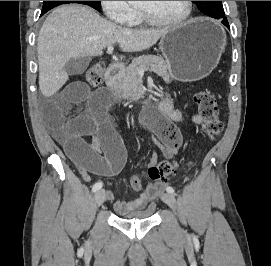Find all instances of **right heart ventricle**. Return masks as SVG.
I'll use <instances>...</instances> for the list:
<instances>
[{
    "mask_svg": "<svg viewBox=\"0 0 271 266\" xmlns=\"http://www.w3.org/2000/svg\"><path fill=\"white\" fill-rule=\"evenodd\" d=\"M144 22V19L142 18L141 14L139 11H135V16L130 23V25H140Z\"/></svg>",
    "mask_w": 271,
    "mask_h": 266,
    "instance_id": "e07e8e85",
    "label": "right heart ventricle"
}]
</instances>
